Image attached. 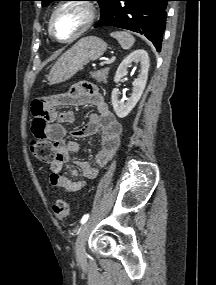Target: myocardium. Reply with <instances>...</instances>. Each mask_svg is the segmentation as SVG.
I'll list each match as a JSON object with an SVG mask.
<instances>
[{"instance_id":"f54148a6","label":"myocardium","mask_w":216,"mask_h":285,"mask_svg":"<svg viewBox=\"0 0 216 285\" xmlns=\"http://www.w3.org/2000/svg\"><path fill=\"white\" fill-rule=\"evenodd\" d=\"M67 6H79L82 7L86 13H87V19L84 25L71 37L66 38V39H59L55 36L53 32V20L56 16V14L63 8ZM96 19V8L95 6L86 0H66L62 3H60L51 13L49 21H48V32L49 35L57 42L59 43H71L78 38H80L82 35H84L94 24Z\"/></svg>"}]
</instances>
